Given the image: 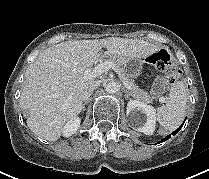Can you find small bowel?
Returning a JSON list of instances; mask_svg holds the SVG:
<instances>
[{
	"label": "small bowel",
	"mask_w": 209,
	"mask_h": 179,
	"mask_svg": "<svg viewBox=\"0 0 209 179\" xmlns=\"http://www.w3.org/2000/svg\"><path fill=\"white\" fill-rule=\"evenodd\" d=\"M165 89V80L162 77H159L156 79L153 89H152V93L154 95H159L161 94Z\"/></svg>",
	"instance_id": "1"
}]
</instances>
